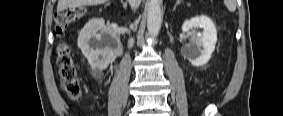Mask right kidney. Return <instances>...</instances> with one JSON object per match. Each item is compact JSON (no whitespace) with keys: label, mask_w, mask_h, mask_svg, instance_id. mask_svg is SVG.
<instances>
[{"label":"right kidney","mask_w":283,"mask_h":116,"mask_svg":"<svg viewBox=\"0 0 283 116\" xmlns=\"http://www.w3.org/2000/svg\"><path fill=\"white\" fill-rule=\"evenodd\" d=\"M78 47L92 69L104 70L122 54L119 36L103 18L89 20L78 36Z\"/></svg>","instance_id":"obj_1"}]
</instances>
